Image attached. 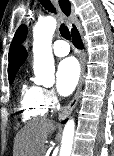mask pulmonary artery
Returning a JSON list of instances; mask_svg holds the SVG:
<instances>
[{"mask_svg": "<svg viewBox=\"0 0 114 156\" xmlns=\"http://www.w3.org/2000/svg\"><path fill=\"white\" fill-rule=\"evenodd\" d=\"M70 52V47L64 40H57L53 45V53L58 57H63L68 55Z\"/></svg>", "mask_w": 114, "mask_h": 156, "instance_id": "1", "label": "pulmonary artery"}]
</instances>
